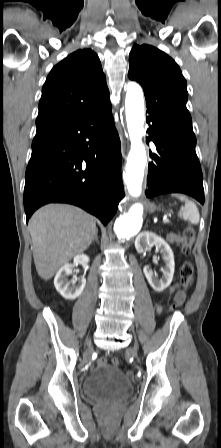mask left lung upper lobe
<instances>
[{
    "label": "left lung upper lobe",
    "instance_id": "left-lung-upper-lobe-1",
    "mask_svg": "<svg viewBox=\"0 0 221 448\" xmlns=\"http://www.w3.org/2000/svg\"><path fill=\"white\" fill-rule=\"evenodd\" d=\"M128 77L142 86L147 113L193 133L186 108L187 83L176 62L151 45H134L129 55Z\"/></svg>",
    "mask_w": 221,
    "mask_h": 448
}]
</instances>
